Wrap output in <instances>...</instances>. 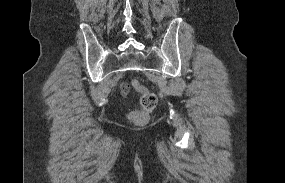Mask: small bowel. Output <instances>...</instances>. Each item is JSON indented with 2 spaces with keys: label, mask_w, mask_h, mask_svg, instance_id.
Masks as SVG:
<instances>
[{
  "label": "small bowel",
  "mask_w": 285,
  "mask_h": 183,
  "mask_svg": "<svg viewBox=\"0 0 285 183\" xmlns=\"http://www.w3.org/2000/svg\"><path fill=\"white\" fill-rule=\"evenodd\" d=\"M120 88H121V90H122V92L123 93H126V91H127V84L126 83H121L120 84Z\"/></svg>",
  "instance_id": "small-bowel-1"
}]
</instances>
